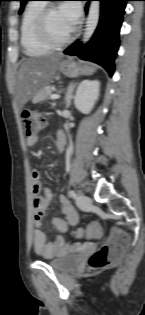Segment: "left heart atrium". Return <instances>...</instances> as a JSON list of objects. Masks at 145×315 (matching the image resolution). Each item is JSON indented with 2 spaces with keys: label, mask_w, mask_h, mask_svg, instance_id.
Listing matches in <instances>:
<instances>
[{
  "label": "left heart atrium",
  "mask_w": 145,
  "mask_h": 315,
  "mask_svg": "<svg viewBox=\"0 0 145 315\" xmlns=\"http://www.w3.org/2000/svg\"><path fill=\"white\" fill-rule=\"evenodd\" d=\"M61 13L66 17L70 26L74 29L81 15V8L77 2L69 1L60 6Z\"/></svg>",
  "instance_id": "1"
}]
</instances>
